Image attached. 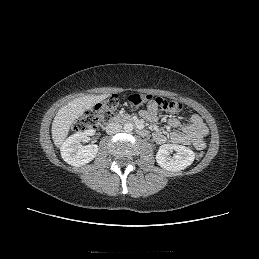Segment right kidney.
I'll return each mask as SVG.
<instances>
[{
  "label": "right kidney",
  "mask_w": 259,
  "mask_h": 259,
  "mask_svg": "<svg viewBox=\"0 0 259 259\" xmlns=\"http://www.w3.org/2000/svg\"><path fill=\"white\" fill-rule=\"evenodd\" d=\"M95 134L94 129L85 132H77L69 136L61 146V156L65 162L72 166H83L92 161L98 153V146L95 144L81 145L87 136Z\"/></svg>",
  "instance_id": "ca27d5eb"
}]
</instances>
